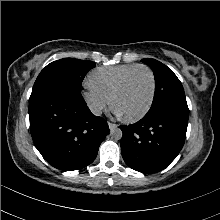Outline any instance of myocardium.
I'll use <instances>...</instances> for the list:
<instances>
[{"mask_svg":"<svg viewBox=\"0 0 220 220\" xmlns=\"http://www.w3.org/2000/svg\"><path fill=\"white\" fill-rule=\"evenodd\" d=\"M138 69H144L146 70L150 77H151V81H152V90H151V95L148 101V104L146 105V107L143 109L142 112H140L139 114L132 116V117H123V119L127 122H137L139 120H141L142 118H144L147 113L150 111L154 99H155V95H156V87H157V83H156V76L153 72V70L144 64H139L136 65L134 68H132L129 72L126 73V75L122 78V80L119 82L118 86L116 87V89L114 90L112 96H111V103L112 106L115 108V101L117 99V97L121 94V92L124 90L129 78L131 77V75Z\"/></svg>","mask_w":220,"mask_h":220,"instance_id":"1","label":"myocardium"}]
</instances>
